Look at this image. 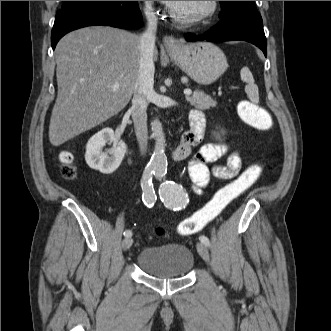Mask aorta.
Instances as JSON below:
<instances>
[{
  "label": "aorta",
  "mask_w": 331,
  "mask_h": 331,
  "mask_svg": "<svg viewBox=\"0 0 331 331\" xmlns=\"http://www.w3.org/2000/svg\"><path fill=\"white\" fill-rule=\"evenodd\" d=\"M155 147L150 160V169L157 175L162 176L167 170V157L165 154V135L162 124L158 119L151 122Z\"/></svg>",
  "instance_id": "aorta-1"
}]
</instances>
